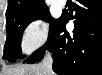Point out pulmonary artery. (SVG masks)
Here are the masks:
<instances>
[{"label": "pulmonary artery", "instance_id": "pulmonary-artery-1", "mask_svg": "<svg viewBox=\"0 0 102 75\" xmlns=\"http://www.w3.org/2000/svg\"><path fill=\"white\" fill-rule=\"evenodd\" d=\"M65 2H66V0H59V1H58V3H59L60 5H63Z\"/></svg>", "mask_w": 102, "mask_h": 75}]
</instances>
